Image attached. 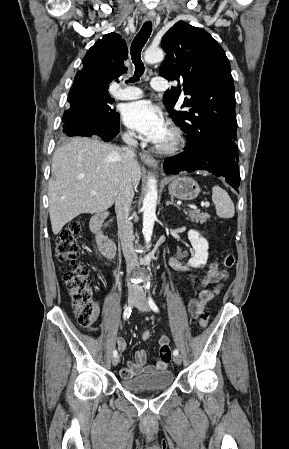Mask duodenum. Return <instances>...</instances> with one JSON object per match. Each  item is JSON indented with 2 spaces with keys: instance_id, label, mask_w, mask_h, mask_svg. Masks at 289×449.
Masks as SVG:
<instances>
[{
  "instance_id": "410a0bca",
  "label": "duodenum",
  "mask_w": 289,
  "mask_h": 449,
  "mask_svg": "<svg viewBox=\"0 0 289 449\" xmlns=\"http://www.w3.org/2000/svg\"><path fill=\"white\" fill-rule=\"evenodd\" d=\"M107 215V212H100L94 215L90 221V228L96 237L101 252L107 257H113L117 252L116 244L105 235L102 228Z\"/></svg>"
}]
</instances>
